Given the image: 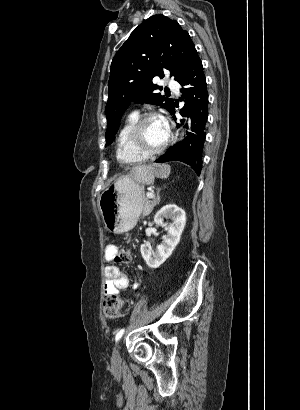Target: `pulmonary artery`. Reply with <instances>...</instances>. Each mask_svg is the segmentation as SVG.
<instances>
[{"label": "pulmonary artery", "mask_w": 300, "mask_h": 410, "mask_svg": "<svg viewBox=\"0 0 300 410\" xmlns=\"http://www.w3.org/2000/svg\"><path fill=\"white\" fill-rule=\"evenodd\" d=\"M169 87L175 92L178 93L179 92V87L177 85V83L174 81V79L169 78L167 80Z\"/></svg>", "instance_id": "obj_1"}]
</instances>
